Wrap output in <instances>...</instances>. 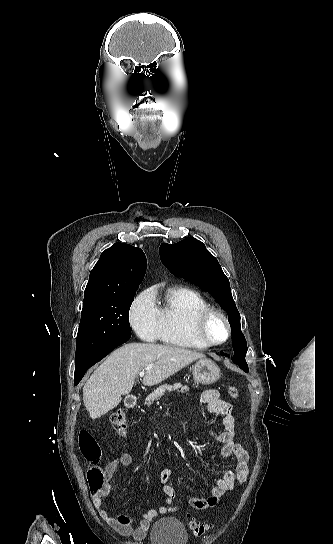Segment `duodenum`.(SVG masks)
Segmentation results:
<instances>
[{"mask_svg": "<svg viewBox=\"0 0 333 544\" xmlns=\"http://www.w3.org/2000/svg\"><path fill=\"white\" fill-rule=\"evenodd\" d=\"M137 404V398L135 396H127L125 399V405L129 408L135 407Z\"/></svg>", "mask_w": 333, "mask_h": 544, "instance_id": "1", "label": "duodenum"}]
</instances>
